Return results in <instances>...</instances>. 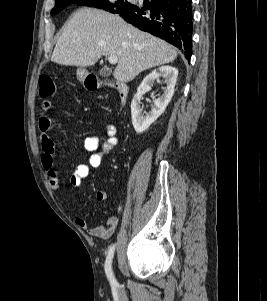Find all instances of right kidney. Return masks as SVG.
<instances>
[{
	"label": "right kidney",
	"mask_w": 267,
	"mask_h": 301,
	"mask_svg": "<svg viewBox=\"0 0 267 301\" xmlns=\"http://www.w3.org/2000/svg\"><path fill=\"white\" fill-rule=\"evenodd\" d=\"M178 77V70L171 66H162L148 74L137 89L136 95L131 102L132 124L137 133H143L157 118L164 113L167 105L174 94V87ZM158 78H164L166 88L161 97L154 101V107L145 116L141 107L143 94L151 90L152 84Z\"/></svg>",
	"instance_id": "ca27d5eb"
}]
</instances>
